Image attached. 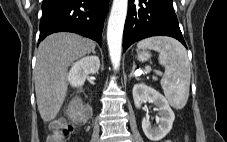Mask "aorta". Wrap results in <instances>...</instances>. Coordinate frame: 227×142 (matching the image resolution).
<instances>
[{"label":"aorta","instance_id":"762f6f07","mask_svg":"<svg viewBox=\"0 0 227 142\" xmlns=\"http://www.w3.org/2000/svg\"><path fill=\"white\" fill-rule=\"evenodd\" d=\"M128 0H113L107 26V43L110 59L115 70L119 69L122 36L127 15Z\"/></svg>","mask_w":227,"mask_h":142}]
</instances>
